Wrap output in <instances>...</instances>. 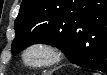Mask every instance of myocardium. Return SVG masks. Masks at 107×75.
Returning a JSON list of instances; mask_svg holds the SVG:
<instances>
[{
  "label": "myocardium",
  "instance_id": "1",
  "mask_svg": "<svg viewBox=\"0 0 107 75\" xmlns=\"http://www.w3.org/2000/svg\"><path fill=\"white\" fill-rule=\"evenodd\" d=\"M40 53L44 59L38 62L32 61L30 56ZM64 58L63 51L53 43L47 41H35L28 44L21 53L23 63L32 69H41L58 64Z\"/></svg>",
  "mask_w": 107,
  "mask_h": 75
}]
</instances>
